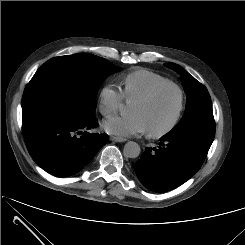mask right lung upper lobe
I'll return each mask as SVG.
<instances>
[{
  "mask_svg": "<svg viewBox=\"0 0 245 245\" xmlns=\"http://www.w3.org/2000/svg\"><path fill=\"white\" fill-rule=\"evenodd\" d=\"M43 79H48L51 82H57L63 80V75L61 72L54 70L49 66V60L45 62L35 73L32 81H41Z\"/></svg>",
  "mask_w": 245,
  "mask_h": 245,
  "instance_id": "right-lung-upper-lobe-1",
  "label": "right lung upper lobe"
}]
</instances>
